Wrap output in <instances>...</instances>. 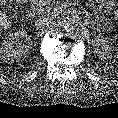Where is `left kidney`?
<instances>
[{
    "label": "left kidney",
    "instance_id": "5707ae66",
    "mask_svg": "<svg viewBox=\"0 0 118 118\" xmlns=\"http://www.w3.org/2000/svg\"><path fill=\"white\" fill-rule=\"evenodd\" d=\"M92 46L94 48V52L101 58V59H109L112 57L111 54V44H109V39L103 36H96L92 40Z\"/></svg>",
    "mask_w": 118,
    "mask_h": 118
}]
</instances>
